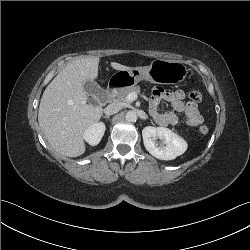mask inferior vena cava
I'll list each match as a JSON object with an SVG mask.
<instances>
[{
  "label": "inferior vena cava",
  "instance_id": "obj_1",
  "mask_svg": "<svg viewBox=\"0 0 250 250\" xmlns=\"http://www.w3.org/2000/svg\"><path fill=\"white\" fill-rule=\"evenodd\" d=\"M122 106L119 103H112L109 104L105 109H104V113L106 115H112V114H116L121 110Z\"/></svg>",
  "mask_w": 250,
  "mask_h": 250
}]
</instances>
